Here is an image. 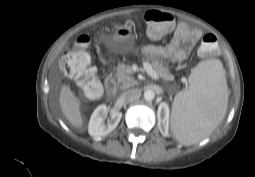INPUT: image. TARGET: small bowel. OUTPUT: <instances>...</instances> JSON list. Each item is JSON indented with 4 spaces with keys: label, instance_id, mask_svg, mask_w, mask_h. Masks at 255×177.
<instances>
[{
    "label": "small bowel",
    "instance_id": "1",
    "mask_svg": "<svg viewBox=\"0 0 255 177\" xmlns=\"http://www.w3.org/2000/svg\"><path fill=\"white\" fill-rule=\"evenodd\" d=\"M203 33L200 29L185 23L178 24L175 32L166 45H147L143 53L157 60L170 59L174 63L185 60L192 49L200 42Z\"/></svg>",
    "mask_w": 255,
    "mask_h": 177
}]
</instances>
